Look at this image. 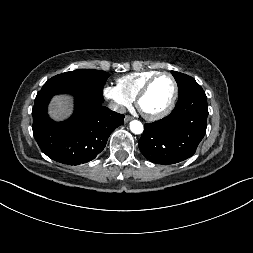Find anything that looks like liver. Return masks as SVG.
<instances>
[{"mask_svg": "<svg viewBox=\"0 0 253 253\" xmlns=\"http://www.w3.org/2000/svg\"><path fill=\"white\" fill-rule=\"evenodd\" d=\"M72 112V100L66 96H55L49 106V115L56 121H62Z\"/></svg>", "mask_w": 253, "mask_h": 253, "instance_id": "6515ba94", "label": "liver"}]
</instances>
